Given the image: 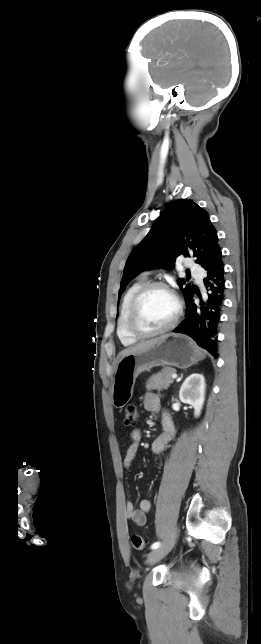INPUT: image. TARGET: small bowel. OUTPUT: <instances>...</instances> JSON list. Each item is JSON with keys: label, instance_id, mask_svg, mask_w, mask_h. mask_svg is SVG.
I'll use <instances>...</instances> for the list:
<instances>
[{"label": "small bowel", "instance_id": "small-bowel-1", "mask_svg": "<svg viewBox=\"0 0 261 644\" xmlns=\"http://www.w3.org/2000/svg\"><path fill=\"white\" fill-rule=\"evenodd\" d=\"M143 405L145 410L151 413H159L161 409L160 396L156 393H147L144 396ZM163 431L153 440L151 451L154 455L160 454L167 445L173 440L175 427L168 412L162 415ZM141 432L135 429L131 433V442L127 448L124 458V467L128 469L134 461L140 446ZM151 509V502L148 499H142L139 502V508H135L133 502L127 501L125 504V516L137 526H143L146 523L147 513Z\"/></svg>", "mask_w": 261, "mask_h": 644}]
</instances>
